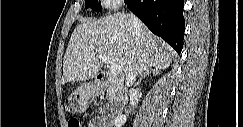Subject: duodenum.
<instances>
[{
  "mask_svg": "<svg viewBox=\"0 0 243 127\" xmlns=\"http://www.w3.org/2000/svg\"><path fill=\"white\" fill-rule=\"evenodd\" d=\"M95 88L97 89H109L114 95V109H113V115L117 113L120 110L121 105L125 102L126 98L123 93V87L121 85V82L112 77L111 75L107 73H100L96 75L95 77ZM100 125L107 127L104 124V119L100 118Z\"/></svg>",
  "mask_w": 243,
  "mask_h": 127,
  "instance_id": "duodenum-1",
  "label": "duodenum"
}]
</instances>
